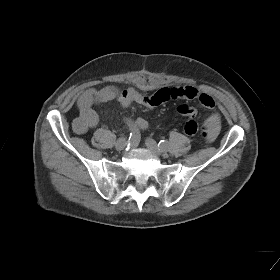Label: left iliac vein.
Listing matches in <instances>:
<instances>
[{"mask_svg": "<svg viewBox=\"0 0 280 280\" xmlns=\"http://www.w3.org/2000/svg\"><path fill=\"white\" fill-rule=\"evenodd\" d=\"M147 148L155 155H161L164 150L153 139L147 138L145 142Z\"/></svg>", "mask_w": 280, "mask_h": 280, "instance_id": "1", "label": "left iliac vein"}]
</instances>
